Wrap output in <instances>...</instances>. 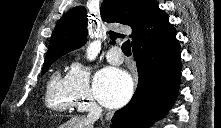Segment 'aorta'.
Returning a JSON list of instances; mask_svg holds the SVG:
<instances>
[{
  "label": "aorta",
  "instance_id": "1",
  "mask_svg": "<svg viewBox=\"0 0 221 128\" xmlns=\"http://www.w3.org/2000/svg\"><path fill=\"white\" fill-rule=\"evenodd\" d=\"M101 50V42L100 41H93L91 42L87 49H86V55L88 60H94L96 56L99 54Z\"/></svg>",
  "mask_w": 221,
  "mask_h": 128
}]
</instances>
